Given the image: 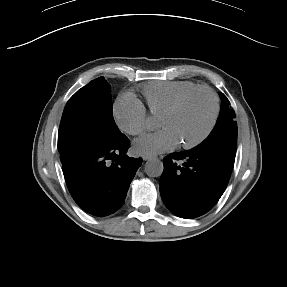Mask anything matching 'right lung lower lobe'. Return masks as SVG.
<instances>
[{
  "label": "right lung lower lobe",
  "instance_id": "obj_1",
  "mask_svg": "<svg viewBox=\"0 0 287 287\" xmlns=\"http://www.w3.org/2000/svg\"><path fill=\"white\" fill-rule=\"evenodd\" d=\"M129 140L123 135L105 148L83 153L63 164V174L74 201L96 216L114 213L123 204L141 158L126 155Z\"/></svg>",
  "mask_w": 287,
  "mask_h": 287
}]
</instances>
